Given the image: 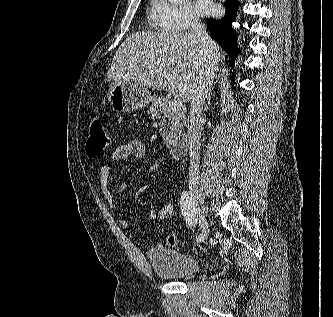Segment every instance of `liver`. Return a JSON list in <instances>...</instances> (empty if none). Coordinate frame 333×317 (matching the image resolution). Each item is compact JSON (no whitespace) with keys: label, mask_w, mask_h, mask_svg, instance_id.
Masks as SVG:
<instances>
[{"label":"liver","mask_w":333,"mask_h":317,"mask_svg":"<svg viewBox=\"0 0 333 317\" xmlns=\"http://www.w3.org/2000/svg\"><path fill=\"white\" fill-rule=\"evenodd\" d=\"M209 56L218 70L223 55L211 38L205 52L192 33L139 31L116 51L108 80L130 78L153 90L166 89L187 103Z\"/></svg>","instance_id":"1"}]
</instances>
